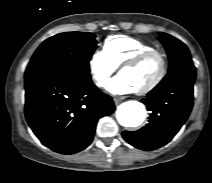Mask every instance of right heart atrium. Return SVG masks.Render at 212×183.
Segmentation results:
<instances>
[{
  "mask_svg": "<svg viewBox=\"0 0 212 183\" xmlns=\"http://www.w3.org/2000/svg\"><path fill=\"white\" fill-rule=\"evenodd\" d=\"M88 67L92 81L99 88L106 87L117 70L103 50L96 51L91 56Z\"/></svg>",
  "mask_w": 212,
  "mask_h": 183,
  "instance_id": "d8ad5b80",
  "label": "right heart atrium"
}]
</instances>
